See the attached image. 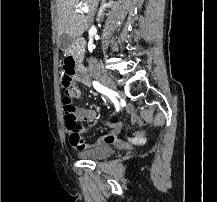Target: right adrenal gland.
<instances>
[{
    "mask_svg": "<svg viewBox=\"0 0 217 202\" xmlns=\"http://www.w3.org/2000/svg\"><path fill=\"white\" fill-rule=\"evenodd\" d=\"M110 4H111V2H106V0H103L102 4L100 6V10L97 14V20H99V22H102V18H104L105 12H106V10H108Z\"/></svg>",
    "mask_w": 217,
    "mask_h": 202,
    "instance_id": "obj_1",
    "label": "right adrenal gland"
}]
</instances>
